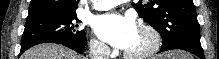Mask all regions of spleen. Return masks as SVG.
<instances>
[{
    "instance_id": "obj_1",
    "label": "spleen",
    "mask_w": 219,
    "mask_h": 59,
    "mask_svg": "<svg viewBox=\"0 0 219 59\" xmlns=\"http://www.w3.org/2000/svg\"><path fill=\"white\" fill-rule=\"evenodd\" d=\"M171 55L173 56L172 59H189L187 55L179 52L171 53Z\"/></svg>"
}]
</instances>
